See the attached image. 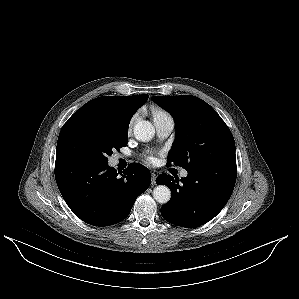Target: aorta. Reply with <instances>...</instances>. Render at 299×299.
Masks as SVG:
<instances>
[{
    "label": "aorta",
    "instance_id": "1",
    "mask_svg": "<svg viewBox=\"0 0 299 299\" xmlns=\"http://www.w3.org/2000/svg\"><path fill=\"white\" fill-rule=\"evenodd\" d=\"M133 131L136 139L143 142L150 141L155 133L152 123L146 120L136 123ZM153 197L158 203L165 204L171 198V191L165 185H158L153 190Z\"/></svg>",
    "mask_w": 299,
    "mask_h": 299
}]
</instances>
